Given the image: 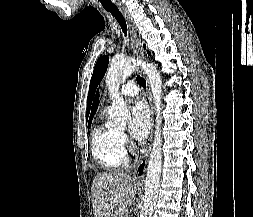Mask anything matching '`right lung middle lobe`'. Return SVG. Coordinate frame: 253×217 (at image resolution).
<instances>
[{"instance_id": "dd1d6c3e", "label": "right lung middle lobe", "mask_w": 253, "mask_h": 217, "mask_svg": "<svg viewBox=\"0 0 253 217\" xmlns=\"http://www.w3.org/2000/svg\"><path fill=\"white\" fill-rule=\"evenodd\" d=\"M91 123H88V128L90 127Z\"/></svg>"}]
</instances>
